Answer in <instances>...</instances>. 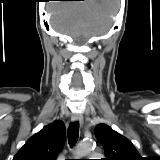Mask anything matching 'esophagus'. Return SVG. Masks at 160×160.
<instances>
[{
	"label": "esophagus",
	"instance_id": "1",
	"mask_svg": "<svg viewBox=\"0 0 160 160\" xmlns=\"http://www.w3.org/2000/svg\"><path fill=\"white\" fill-rule=\"evenodd\" d=\"M71 120H72V122H78L79 124H83V117L81 114L74 113L71 116Z\"/></svg>",
	"mask_w": 160,
	"mask_h": 160
}]
</instances>
